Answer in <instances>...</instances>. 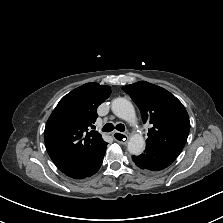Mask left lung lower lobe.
<instances>
[{"label":"left lung lower lobe","mask_w":223,"mask_h":223,"mask_svg":"<svg viewBox=\"0 0 223 223\" xmlns=\"http://www.w3.org/2000/svg\"><path fill=\"white\" fill-rule=\"evenodd\" d=\"M178 155V153L162 147L146 145L144 153L132 156V159L143 172L151 173L168 167Z\"/></svg>","instance_id":"0a47b994"}]
</instances>
